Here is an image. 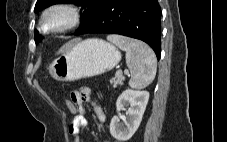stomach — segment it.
<instances>
[{
    "instance_id": "stomach-1",
    "label": "stomach",
    "mask_w": 227,
    "mask_h": 142,
    "mask_svg": "<svg viewBox=\"0 0 227 142\" xmlns=\"http://www.w3.org/2000/svg\"><path fill=\"white\" fill-rule=\"evenodd\" d=\"M121 60L120 51L100 39H87L70 45L49 67L50 75L62 82L103 74Z\"/></svg>"
}]
</instances>
